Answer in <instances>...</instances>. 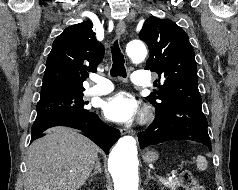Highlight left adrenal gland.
<instances>
[{
	"label": "left adrenal gland",
	"instance_id": "1",
	"mask_svg": "<svg viewBox=\"0 0 238 190\" xmlns=\"http://www.w3.org/2000/svg\"><path fill=\"white\" fill-rule=\"evenodd\" d=\"M147 174H148V175H147L146 183H148V181H149L150 179H154V180H155V178L151 175L150 169H148Z\"/></svg>",
	"mask_w": 238,
	"mask_h": 190
}]
</instances>
